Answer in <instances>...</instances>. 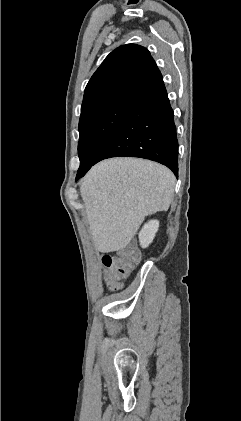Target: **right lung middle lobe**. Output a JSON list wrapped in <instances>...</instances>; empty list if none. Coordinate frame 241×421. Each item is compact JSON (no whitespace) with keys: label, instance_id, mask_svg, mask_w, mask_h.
<instances>
[{"label":"right lung middle lobe","instance_id":"dd1d6c3e","mask_svg":"<svg viewBox=\"0 0 241 421\" xmlns=\"http://www.w3.org/2000/svg\"><path fill=\"white\" fill-rule=\"evenodd\" d=\"M131 101L114 103L80 117L79 169L91 167L123 121Z\"/></svg>","mask_w":241,"mask_h":421}]
</instances>
